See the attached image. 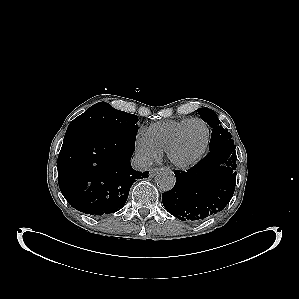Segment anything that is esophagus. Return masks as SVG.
<instances>
[{"label": "esophagus", "instance_id": "1", "mask_svg": "<svg viewBox=\"0 0 299 299\" xmlns=\"http://www.w3.org/2000/svg\"><path fill=\"white\" fill-rule=\"evenodd\" d=\"M161 171H162V169H160V168H153L149 172V177L153 178L157 173H159Z\"/></svg>", "mask_w": 299, "mask_h": 299}]
</instances>
